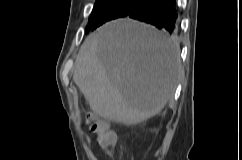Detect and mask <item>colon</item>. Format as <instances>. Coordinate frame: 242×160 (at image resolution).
I'll return each mask as SVG.
<instances>
[{
    "label": "colon",
    "mask_w": 242,
    "mask_h": 160,
    "mask_svg": "<svg viewBox=\"0 0 242 160\" xmlns=\"http://www.w3.org/2000/svg\"><path fill=\"white\" fill-rule=\"evenodd\" d=\"M86 123L90 130L97 135V142L103 149H108L115 140V135L109 131L106 121L97 118L93 114H88Z\"/></svg>",
    "instance_id": "colon-1"
}]
</instances>
